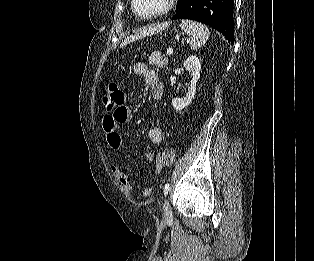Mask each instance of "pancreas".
I'll return each instance as SVG.
<instances>
[{
	"mask_svg": "<svg viewBox=\"0 0 314 261\" xmlns=\"http://www.w3.org/2000/svg\"><path fill=\"white\" fill-rule=\"evenodd\" d=\"M149 63L158 68H164L168 64V58L164 57L161 51H155L149 57Z\"/></svg>",
	"mask_w": 314,
	"mask_h": 261,
	"instance_id": "cf45deb5",
	"label": "pancreas"
}]
</instances>
